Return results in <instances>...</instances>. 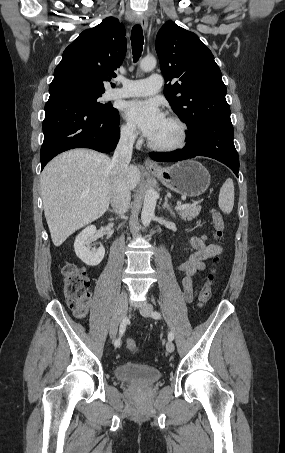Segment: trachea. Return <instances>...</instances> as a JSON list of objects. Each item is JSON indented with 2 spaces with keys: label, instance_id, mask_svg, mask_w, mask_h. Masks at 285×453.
I'll list each match as a JSON object with an SVG mask.
<instances>
[{
  "label": "trachea",
  "instance_id": "1",
  "mask_svg": "<svg viewBox=\"0 0 285 453\" xmlns=\"http://www.w3.org/2000/svg\"><path fill=\"white\" fill-rule=\"evenodd\" d=\"M144 44V36L142 27L137 24L132 28L131 31V45H132V53H133V60L137 62L141 56L142 49Z\"/></svg>",
  "mask_w": 285,
  "mask_h": 453
}]
</instances>
